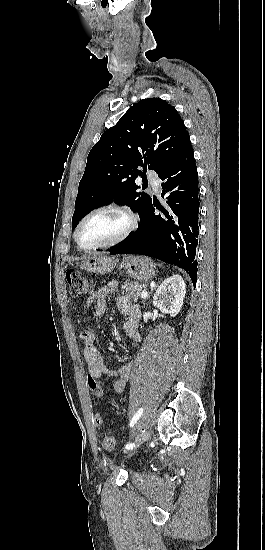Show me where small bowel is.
<instances>
[{"instance_id": "c3829d8e", "label": "small bowel", "mask_w": 265, "mask_h": 550, "mask_svg": "<svg viewBox=\"0 0 265 550\" xmlns=\"http://www.w3.org/2000/svg\"><path fill=\"white\" fill-rule=\"evenodd\" d=\"M115 288V284H111L106 287H102L95 291L84 303L85 306H90L94 304L95 314L98 316L104 315L108 309L107 296ZM116 305L120 313L124 317L123 329L125 334L135 340H140V334L138 332V324L140 317V309L137 305L131 303L129 299L125 296H120L117 298ZM81 340L84 343L83 356L88 365L89 376L98 380L101 376L106 375L116 379L113 389L116 393H122L126 387L127 381L130 377L132 370L130 363H125L117 370H111L106 367L102 361V356L95 345V335L90 330H84L81 333ZM104 395V391L101 387L100 396ZM96 416L94 417V423L97 426ZM101 417V416H100ZM102 418V417H101Z\"/></svg>"}]
</instances>
